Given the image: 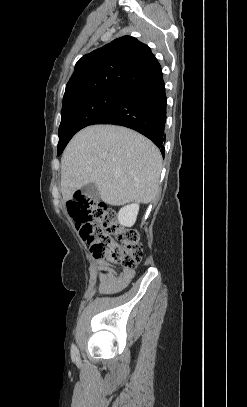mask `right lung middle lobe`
<instances>
[{"label": "right lung middle lobe", "mask_w": 247, "mask_h": 407, "mask_svg": "<svg viewBox=\"0 0 247 407\" xmlns=\"http://www.w3.org/2000/svg\"><path fill=\"white\" fill-rule=\"evenodd\" d=\"M134 90L124 86L109 87L63 105L58 130V155L79 130L93 124Z\"/></svg>", "instance_id": "obj_1"}]
</instances>
